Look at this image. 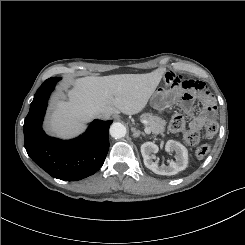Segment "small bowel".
Here are the masks:
<instances>
[{
	"label": "small bowel",
	"mask_w": 245,
	"mask_h": 245,
	"mask_svg": "<svg viewBox=\"0 0 245 245\" xmlns=\"http://www.w3.org/2000/svg\"><path fill=\"white\" fill-rule=\"evenodd\" d=\"M168 79H169L170 83H172L174 85H180L190 92L199 93V94H202L205 96L209 95V91H208L207 87L200 82H197V81H194L191 79H186L183 76L176 75L174 73H170L168 75ZM185 108L188 111L191 110V104H190L189 100L186 101ZM213 115H214L213 108L211 106H208V105L205 106L202 114L192 119V121L190 123L191 129L197 130V129L201 128L202 125L204 124V122L208 118L212 117Z\"/></svg>",
	"instance_id": "obj_1"
}]
</instances>
